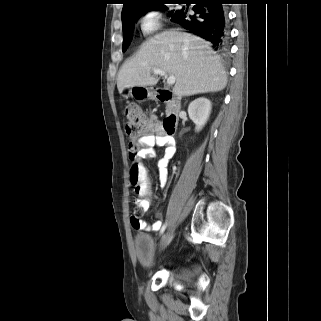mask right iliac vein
I'll return each instance as SVG.
<instances>
[{"instance_id":"right-iliac-vein-1","label":"right iliac vein","mask_w":321,"mask_h":321,"mask_svg":"<svg viewBox=\"0 0 321 321\" xmlns=\"http://www.w3.org/2000/svg\"><path fill=\"white\" fill-rule=\"evenodd\" d=\"M173 235H174V229L171 228L162 236L161 243H160L161 249L165 248L168 245V243L173 238Z\"/></svg>"}]
</instances>
